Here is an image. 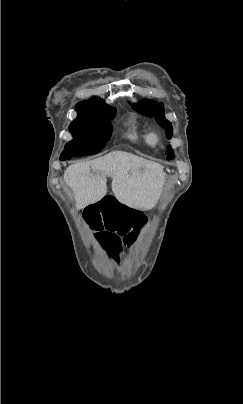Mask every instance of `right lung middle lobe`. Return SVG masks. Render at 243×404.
I'll return each instance as SVG.
<instances>
[{"label": "right lung middle lobe", "mask_w": 243, "mask_h": 404, "mask_svg": "<svg viewBox=\"0 0 243 404\" xmlns=\"http://www.w3.org/2000/svg\"><path fill=\"white\" fill-rule=\"evenodd\" d=\"M115 113L116 109L113 108L95 115L78 116L72 121L69 130L73 140L65 145L60 160L100 152L110 138L112 132L110 120L115 117Z\"/></svg>", "instance_id": "right-lung-middle-lobe-1"}]
</instances>
